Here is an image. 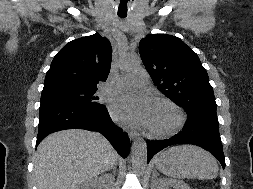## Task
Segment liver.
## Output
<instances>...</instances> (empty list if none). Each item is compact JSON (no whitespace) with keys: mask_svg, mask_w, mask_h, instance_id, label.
<instances>
[{"mask_svg":"<svg viewBox=\"0 0 253 189\" xmlns=\"http://www.w3.org/2000/svg\"><path fill=\"white\" fill-rule=\"evenodd\" d=\"M118 154L97 132L71 129L48 135L34 160L37 189H76L116 165Z\"/></svg>","mask_w":253,"mask_h":189,"instance_id":"1","label":"liver"}]
</instances>
